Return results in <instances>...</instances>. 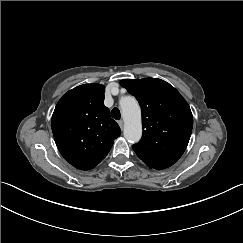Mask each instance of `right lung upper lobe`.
Wrapping results in <instances>:
<instances>
[{
    "label": "right lung upper lobe",
    "instance_id": "cb5924a9",
    "mask_svg": "<svg viewBox=\"0 0 243 243\" xmlns=\"http://www.w3.org/2000/svg\"><path fill=\"white\" fill-rule=\"evenodd\" d=\"M105 87L83 84L57 103L51 127L62 156L75 168L90 170L100 163L120 135V127L104 106Z\"/></svg>",
    "mask_w": 243,
    "mask_h": 243
}]
</instances>
